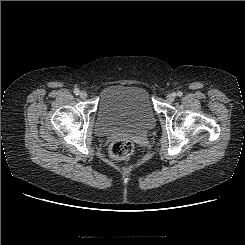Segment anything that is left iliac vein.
<instances>
[{"mask_svg": "<svg viewBox=\"0 0 245 245\" xmlns=\"http://www.w3.org/2000/svg\"><path fill=\"white\" fill-rule=\"evenodd\" d=\"M167 100L169 102H173L175 100V94H173V93L168 94L167 95Z\"/></svg>", "mask_w": 245, "mask_h": 245, "instance_id": "left-iliac-vein-1", "label": "left iliac vein"}]
</instances>
